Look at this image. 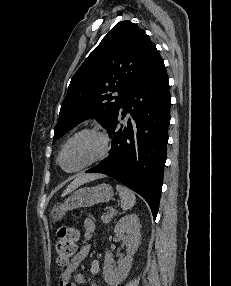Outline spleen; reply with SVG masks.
<instances>
[{
  "label": "spleen",
  "mask_w": 231,
  "mask_h": 286,
  "mask_svg": "<svg viewBox=\"0 0 231 286\" xmlns=\"http://www.w3.org/2000/svg\"><path fill=\"white\" fill-rule=\"evenodd\" d=\"M116 189L121 199V208L126 211L131 209L136 203L135 194L126 187L117 184Z\"/></svg>",
  "instance_id": "obj_1"
}]
</instances>
